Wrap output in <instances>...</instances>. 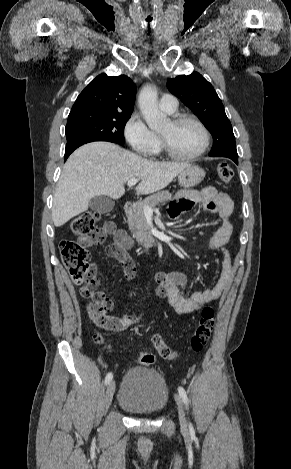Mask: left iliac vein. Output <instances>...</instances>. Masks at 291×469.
Here are the masks:
<instances>
[{
	"instance_id": "4c4485c4",
	"label": "left iliac vein",
	"mask_w": 291,
	"mask_h": 469,
	"mask_svg": "<svg viewBox=\"0 0 291 469\" xmlns=\"http://www.w3.org/2000/svg\"><path fill=\"white\" fill-rule=\"evenodd\" d=\"M175 401H176L177 408H178L180 425L182 428H186L187 423H186L185 410H184V406L179 395H175Z\"/></svg>"
}]
</instances>
